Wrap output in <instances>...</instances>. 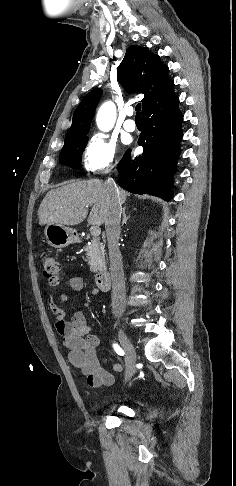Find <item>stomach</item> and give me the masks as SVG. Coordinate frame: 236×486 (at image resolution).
Wrapping results in <instances>:
<instances>
[{
	"mask_svg": "<svg viewBox=\"0 0 236 486\" xmlns=\"http://www.w3.org/2000/svg\"><path fill=\"white\" fill-rule=\"evenodd\" d=\"M45 236L48 243L56 249L67 247L78 240L72 228L55 223L47 224L45 227Z\"/></svg>",
	"mask_w": 236,
	"mask_h": 486,
	"instance_id": "1",
	"label": "stomach"
}]
</instances>
